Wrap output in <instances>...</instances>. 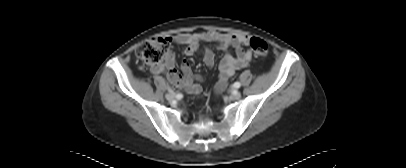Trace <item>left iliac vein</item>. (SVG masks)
Instances as JSON below:
<instances>
[{"label": "left iliac vein", "mask_w": 406, "mask_h": 168, "mask_svg": "<svg viewBox=\"0 0 406 168\" xmlns=\"http://www.w3.org/2000/svg\"><path fill=\"white\" fill-rule=\"evenodd\" d=\"M240 98H241V93L239 91H234L230 96L231 100H238Z\"/></svg>", "instance_id": "left-iliac-vein-1"}]
</instances>
